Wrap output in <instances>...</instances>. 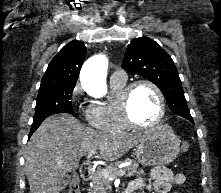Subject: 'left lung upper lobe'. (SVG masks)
<instances>
[{
    "mask_svg": "<svg viewBox=\"0 0 221 193\" xmlns=\"http://www.w3.org/2000/svg\"><path fill=\"white\" fill-rule=\"evenodd\" d=\"M122 68L154 83L162 91L171 111L193 120L176 66L157 42L148 37L134 39L127 47Z\"/></svg>",
    "mask_w": 221,
    "mask_h": 193,
    "instance_id": "obj_1",
    "label": "left lung upper lobe"
}]
</instances>
